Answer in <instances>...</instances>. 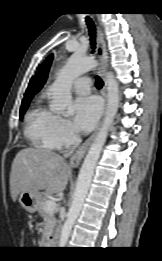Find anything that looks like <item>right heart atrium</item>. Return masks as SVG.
<instances>
[{"label": "right heart atrium", "mask_w": 162, "mask_h": 261, "mask_svg": "<svg viewBox=\"0 0 162 261\" xmlns=\"http://www.w3.org/2000/svg\"><path fill=\"white\" fill-rule=\"evenodd\" d=\"M54 144L57 148L73 145L78 135L69 120L57 116L51 128Z\"/></svg>", "instance_id": "right-heart-atrium-1"}]
</instances>
